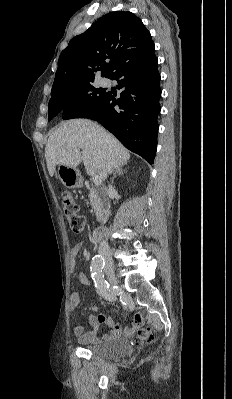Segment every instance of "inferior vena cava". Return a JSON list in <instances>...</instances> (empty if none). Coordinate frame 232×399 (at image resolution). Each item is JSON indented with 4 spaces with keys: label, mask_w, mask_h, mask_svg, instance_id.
Listing matches in <instances>:
<instances>
[{
    "label": "inferior vena cava",
    "mask_w": 232,
    "mask_h": 399,
    "mask_svg": "<svg viewBox=\"0 0 232 399\" xmlns=\"http://www.w3.org/2000/svg\"><path fill=\"white\" fill-rule=\"evenodd\" d=\"M103 136H105V138H107L106 134H103ZM109 170H112V168H109ZM98 252L103 255L105 262H107V263L112 262V259L110 257L111 247L109 246L107 241H102V243L98 247Z\"/></svg>",
    "instance_id": "obj_1"
}]
</instances>
